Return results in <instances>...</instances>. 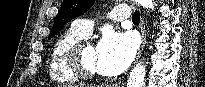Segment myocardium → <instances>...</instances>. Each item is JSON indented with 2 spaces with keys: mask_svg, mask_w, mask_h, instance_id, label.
Returning <instances> with one entry per match:
<instances>
[{
  "mask_svg": "<svg viewBox=\"0 0 205 87\" xmlns=\"http://www.w3.org/2000/svg\"><path fill=\"white\" fill-rule=\"evenodd\" d=\"M89 45H91L90 42L86 40H81L77 42L69 49L65 58L66 64L69 67V69L72 71V73L77 77V79L84 80V81L92 80L95 77H97L96 72L87 71L82 65V61H81L82 51L86 46Z\"/></svg>",
  "mask_w": 205,
  "mask_h": 87,
  "instance_id": "1",
  "label": "myocardium"
}]
</instances>
